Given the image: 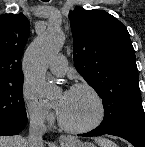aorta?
Segmentation results:
<instances>
[{
  "instance_id": "obj_1",
  "label": "aorta",
  "mask_w": 145,
  "mask_h": 147,
  "mask_svg": "<svg viewBox=\"0 0 145 147\" xmlns=\"http://www.w3.org/2000/svg\"><path fill=\"white\" fill-rule=\"evenodd\" d=\"M63 32L58 26H50L27 49L24 58V71L27 77L37 85L42 97L53 94V85L45 77L46 67L58 53L63 43Z\"/></svg>"
}]
</instances>
